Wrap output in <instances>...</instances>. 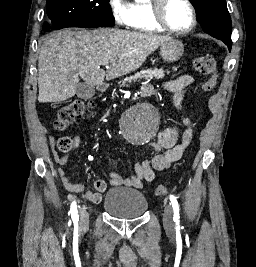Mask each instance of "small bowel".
<instances>
[{"mask_svg":"<svg viewBox=\"0 0 256 267\" xmlns=\"http://www.w3.org/2000/svg\"><path fill=\"white\" fill-rule=\"evenodd\" d=\"M193 83V77L185 74L177 79L167 81L163 84L164 89L172 95L173 102L176 106L180 105L183 91L186 87ZM142 93L146 96L152 95L154 90L150 86H145ZM184 131L182 141L177 144L178 127L175 124L163 129L159 132L156 141L150 146L154 151L158 152L151 160H142L136 163L134 173L129 177H124L117 172H110L109 185L113 187L128 186L133 188H141L144 183L150 184L155 178L156 171H162L171 166L172 163L178 161L192 140V127L187 118H182ZM54 146V139L51 140ZM81 143V138L75 136L71 141L69 151L63 155L58 154L53 149V157L58 165L57 174L64 188L71 193H83L85 185L83 182L73 183L66 175L64 166L68 161L70 153L75 150ZM165 150L160 153L161 150ZM94 191H86L84 197L94 204L102 201V194L107 190V183L104 180L97 179L93 182Z\"/></svg>","mask_w":256,"mask_h":267,"instance_id":"c3829d8e","label":"small bowel"}]
</instances>
